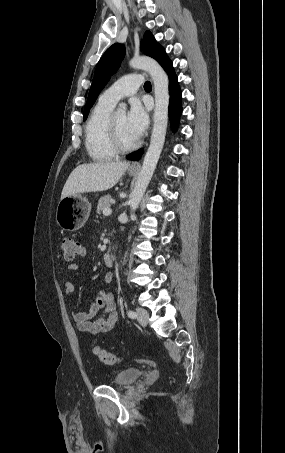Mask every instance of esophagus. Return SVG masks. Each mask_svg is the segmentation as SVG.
I'll list each match as a JSON object with an SVG mask.
<instances>
[{
	"instance_id": "esophagus-1",
	"label": "esophagus",
	"mask_w": 285,
	"mask_h": 453,
	"mask_svg": "<svg viewBox=\"0 0 285 453\" xmlns=\"http://www.w3.org/2000/svg\"><path fill=\"white\" fill-rule=\"evenodd\" d=\"M131 169H138L140 168V163L138 161H135L131 164L130 166Z\"/></svg>"
}]
</instances>
